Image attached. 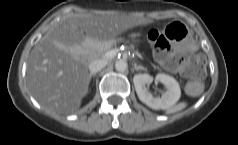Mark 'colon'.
Listing matches in <instances>:
<instances>
[{"label":"colon","mask_w":238,"mask_h":145,"mask_svg":"<svg viewBox=\"0 0 238 145\" xmlns=\"http://www.w3.org/2000/svg\"><path fill=\"white\" fill-rule=\"evenodd\" d=\"M149 39L153 44L157 60L167 69L190 77L192 80L187 85V92L191 95L199 94L206 73L205 59L202 56L171 53L169 41L156 30L149 33Z\"/></svg>","instance_id":"5ec220e1"}]
</instances>
